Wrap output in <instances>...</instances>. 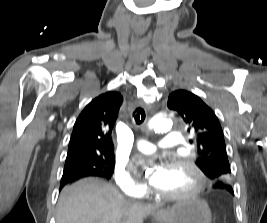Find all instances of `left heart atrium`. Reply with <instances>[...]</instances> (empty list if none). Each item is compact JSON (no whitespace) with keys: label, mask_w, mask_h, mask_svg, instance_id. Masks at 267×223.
<instances>
[{"label":"left heart atrium","mask_w":267,"mask_h":223,"mask_svg":"<svg viewBox=\"0 0 267 223\" xmlns=\"http://www.w3.org/2000/svg\"><path fill=\"white\" fill-rule=\"evenodd\" d=\"M165 175H166V167L162 164H156L149 178L150 184L155 187L163 180Z\"/></svg>","instance_id":"1"}]
</instances>
